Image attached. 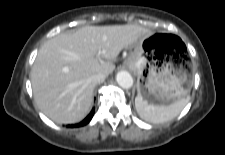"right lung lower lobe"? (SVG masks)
I'll list each match as a JSON object with an SVG mask.
<instances>
[{
  "label": "right lung lower lobe",
  "mask_w": 225,
  "mask_h": 155,
  "mask_svg": "<svg viewBox=\"0 0 225 155\" xmlns=\"http://www.w3.org/2000/svg\"><path fill=\"white\" fill-rule=\"evenodd\" d=\"M94 108L92 109L91 113L82 121L80 122L79 124H76V125H71V127L73 126H84L86 124H88L90 122V120L92 119L93 115H94Z\"/></svg>",
  "instance_id": "1"
}]
</instances>
